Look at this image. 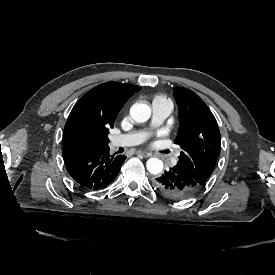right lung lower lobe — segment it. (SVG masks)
Wrapping results in <instances>:
<instances>
[{"instance_id":"right-lung-lower-lobe-1","label":"right lung lower lobe","mask_w":275,"mask_h":275,"mask_svg":"<svg viewBox=\"0 0 275 275\" xmlns=\"http://www.w3.org/2000/svg\"><path fill=\"white\" fill-rule=\"evenodd\" d=\"M63 158L70 176L81 187L98 190L117 177L124 155L110 156L109 146L76 145L63 149Z\"/></svg>"}]
</instances>
